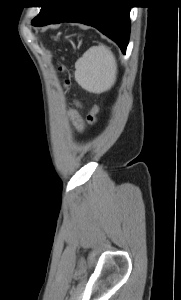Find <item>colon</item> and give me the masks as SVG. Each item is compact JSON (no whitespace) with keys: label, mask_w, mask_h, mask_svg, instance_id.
<instances>
[{"label":"colon","mask_w":181,"mask_h":300,"mask_svg":"<svg viewBox=\"0 0 181 300\" xmlns=\"http://www.w3.org/2000/svg\"><path fill=\"white\" fill-rule=\"evenodd\" d=\"M99 113V107L94 105L87 115V121L91 126H94L97 123V116Z\"/></svg>","instance_id":"obj_1"}]
</instances>
